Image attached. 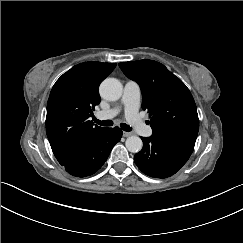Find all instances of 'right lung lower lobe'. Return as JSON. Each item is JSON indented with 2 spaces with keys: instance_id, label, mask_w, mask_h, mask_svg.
<instances>
[{
  "instance_id": "obj_1",
  "label": "right lung lower lobe",
  "mask_w": 243,
  "mask_h": 243,
  "mask_svg": "<svg viewBox=\"0 0 243 243\" xmlns=\"http://www.w3.org/2000/svg\"><path fill=\"white\" fill-rule=\"evenodd\" d=\"M121 136L122 131L118 127L105 128L63 165L64 168L76 177H86L96 173L107 160L114 145L120 141Z\"/></svg>"
}]
</instances>
